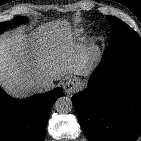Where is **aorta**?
Segmentation results:
<instances>
[{
	"mask_svg": "<svg viewBox=\"0 0 141 141\" xmlns=\"http://www.w3.org/2000/svg\"><path fill=\"white\" fill-rule=\"evenodd\" d=\"M72 108L73 103L69 97H60L55 102V109L59 113H69Z\"/></svg>",
	"mask_w": 141,
	"mask_h": 141,
	"instance_id": "762f6f07",
	"label": "aorta"
}]
</instances>
